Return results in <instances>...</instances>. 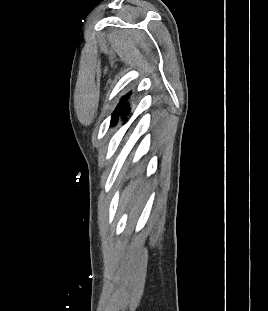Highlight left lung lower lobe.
<instances>
[{
	"mask_svg": "<svg viewBox=\"0 0 268 311\" xmlns=\"http://www.w3.org/2000/svg\"><path fill=\"white\" fill-rule=\"evenodd\" d=\"M130 113V108H129V106H128V104H127V102H126V105H125V107L123 108V110H122V112H121V116L123 117H125V116H127L128 114Z\"/></svg>",
	"mask_w": 268,
	"mask_h": 311,
	"instance_id": "1",
	"label": "left lung lower lobe"
}]
</instances>
